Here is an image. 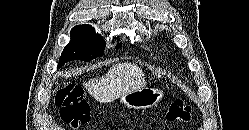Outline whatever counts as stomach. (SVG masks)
<instances>
[{
	"instance_id": "1",
	"label": "stomach",
	"mask_w": 249,
	"mask_h": 130,
	"mask_svg": "<svg viewBox=\"0 0 249 130\" xmlns=\"http://www.w3.org/2000/svg\"><path fill=\"white\" fill-rule=\"evenodd\" d=\"M164 93L158 88L142 87L120 97V102L129 108L147 109L157 105Z\"/></svg>"
}]
</instances>
